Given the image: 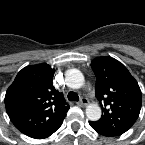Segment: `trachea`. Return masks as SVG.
<instances>
[{"instance_id": "obj_1", "label": "trachea", "mask_w": 145, "mask_h": 145, "mask_svg": "<svg viewBox=\"0 0 145 145\" xmlns=\"http://www.w3.org/2000/svg\"><path fill=\"white\" fill-rule=\"evenodd\" d=\"M67 98L69 101H78L79 100L78 94L75 92H72V91L68 93Z\"/></svg>"}]
</instances>
